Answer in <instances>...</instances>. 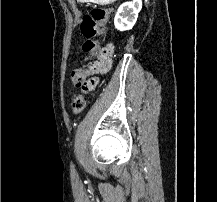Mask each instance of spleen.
Returning a JSON list of instances; mask_svg holds the SVG:
<instances>
[{
  "mask_svg": "<svg viewBox=\"0 0 217 202\" xmlns=\"http://www.w3.org/2000/svg\"><path fill=\"white\" fill-rule=\"evenodd\" d=\"M83 2L93 5V0H83ZM96 5H114V0H96Z\"/></svg>",
  "mask_w": 217,
  "mask_h": 202,
  "instance_id": "spleen-1",
  "label": "spleen"
}]
</instances>
